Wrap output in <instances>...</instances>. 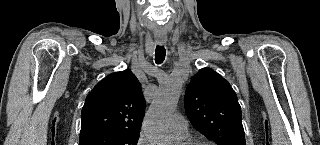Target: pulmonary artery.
Wrapping results in <instances>:
<instances>
[{"label":"pulmonary artery","mask_w":320,"mask_h":145,"mask_svg":"<svg viewBox=\"0 0 320 145\" xmlns=\"http://www.w3.org/2000/svg\"><path fill=\"white\" fill-rule=\"evenodd\" d=\"M170 129L179 138L185 139L188 137V121L181 114H174L170 118L169 122Z\"/></svg>","instance_id":"obj_1"}]
</instances>
